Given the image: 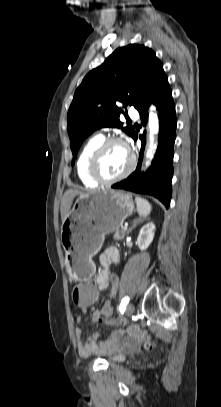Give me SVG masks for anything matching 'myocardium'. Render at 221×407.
I'll return each mask as SVG.
<instances>
[{"mask_svg":"<svg viewBox=\"0 0 221 407\" xmlns=\"http://www.w3.org/2000/svg\"><path fill=\"white\" fill-rule=\"evenodd\" d=\"M113 144L123 145L127 149L130 156V162L125 171L122 172L120 175L113 178H105L101 175L99 171V163L103 153L109 146ZM135 165H136L135 155L130 149V147L127 145V143L120 138L111 137L104 139L101 142V144L93 151L88 161V174L98 184L109 185L127 178L133 172Z\"/></svg>","mask_w":221,"mask_h":407,"instance_id":"myocardium-1","label":"myocardium"}]
</instances>
